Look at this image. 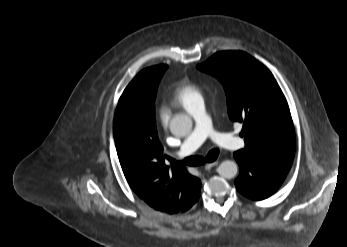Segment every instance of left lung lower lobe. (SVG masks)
I'll use <instances>...</instances> for the list:
<instances>
[{
	"mask_svg": "<svg viewBox=\"0 0 347 247\" xmlns=\"http://www.w3.org/2000/svg\"><path fill=\"white\" fill-rule=\"evenodd\" d=\"M234 157L240 167L236 188L253 200H263L275 193L292 164L289 160L253 158L241 152H235Z\"/></svg>",
	"mask_w": 347,
	"mask_h": 247,
	"instance_id": "0a47b994",
	"label": "left lung lower lobe"
}]
</instances>
